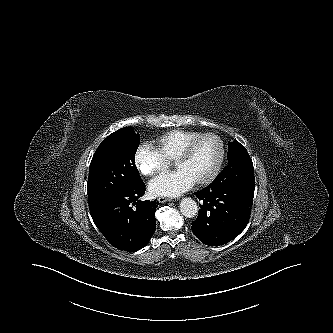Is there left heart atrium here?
<instances>
[{"mask_svg":"<svg viewBox=\"0 0 333 333\" xmlns=\"http://www.w3.org/2000/svg\"><path fill=\"white\" fill-rule=\"evenodd\" d=\"M195 181L183 170L162 174L149 183V191L154 196L178 197L189 190Z\"/></svg>","mask_w":333,"mask_h":333,"instance_id":"left-heart-atrium-1","label":"left heart atrium"}]
</instances>
